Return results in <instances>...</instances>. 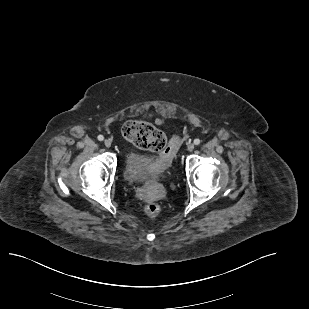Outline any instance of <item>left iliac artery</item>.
<instances>
[{"instance_id":"obj_1","label":"left iliac artery","mask_w":309,"mask_h":309,"mask_svg":"<svg viewBox=\"0 0 309 309\" xmlns=\"http://www.w3.org/2000/svg\"><path fill=\"white\" fill-rule=\"evenodd\" d=\"M200 142H201L200 139H195V140H194V144H195V145H199Z\"/></svg>"}]
</instances>
